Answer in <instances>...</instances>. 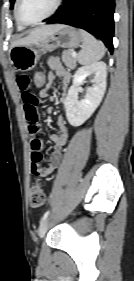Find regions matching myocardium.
Segmentation results:
<instances>
[{"mask_svg":"<svg viewBox=\"0 0 134 281\" xmlns=\"http://www.w3.org/2000/svg\"><path fill=\"white\" fill-rule=\"evenodd\" d=\"M20 2H21V0H16V2H15V8H14L15 18L18 23H20L24 27H27V26H35V25L41 24L42 22L51 18L54 14L57 13V11L62 6L63 0H56L55 5L52 8V10L48 14H46L44 17H42L41 19L34 21V22H27L22 19L20 12H19Z\"/></svg>","mask_w":134,"mask_h":281,"instance_id":"f54148a6","label":"myocardium"}]
</instances>
